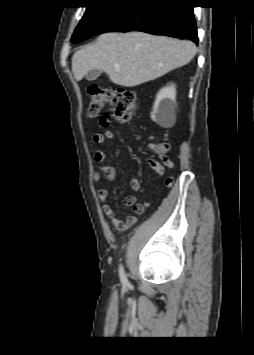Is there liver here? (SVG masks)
Listing matches in <instances>:
<instances>
[{
    "instance_id": "liver-1",
    "label": "liver",
    "mask_w": 254,
    "mask_h": 355,
    "mask_svg": "<svg viewBox=\"0 0 254 355\" xmlns=\"http://www.w3.org/2000/svg\"><path fill=\"white\" fill-rule=\"evenodd\" d=\"M196 52V45L188 40L142 32L105 33L73 55L72 72L80 81L98 69L114 84L134 87L188 64Z\"/></svg>"
}]
</instances>
